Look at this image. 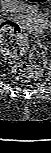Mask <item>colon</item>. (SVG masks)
Returning a JSON list of instances; mask_svg holds the SVG:
<instances>
[{
	"mask_svg": "<svg viewBox=\"0 0 51 153\" xmlns=\"http://www.w3.org/2000/svg\"><path fill=\"white\" fill-rule=\"evenodd\" d=\"M49 0H27L33 4H44ZM28 39L25 30L15 21L6 20L1 24V51L11 59H19L26 53ZM30 65L18 61L12 67L13 77L20 83L37 79L43 72L47 61V49L37 40L29 52Z\"/></svg>",
	"mask_w": 51,
	"mask_h": 153,
	"instance_id": "obj_1",
	"label": "colon"
}]
</instances>
